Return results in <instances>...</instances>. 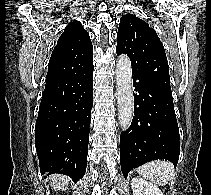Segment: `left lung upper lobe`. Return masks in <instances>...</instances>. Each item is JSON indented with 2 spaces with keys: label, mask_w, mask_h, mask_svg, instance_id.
Listing matches in <instances>:
<instances>
[{
  "label": "left lung upper lobe",
  "mask_w": 211,
  "mask_h": 195,
  "mask_svg": "<svg viewBox=\"0 0 211 195\" xmlns=\"http://www.w3.org/2000/svg\"><path fill=\"white\" fill-rule=\"evenodd\" d=\"M117 54H127L132 73L142 75L172 95L169 65L156 31L133 14L121 17L117 32Z\"/></svg>",
  "instance_id": "5c2ea615"
}]
</instances>
